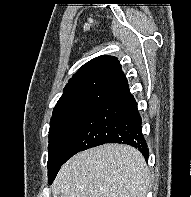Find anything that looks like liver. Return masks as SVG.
<instances>
[{"label":"liver","instance_id":"6515ba94","mask_svg":"<svg viewBox=\"0 0 191 197\" xmlns=\"http://www.w3.org/2000/svg\"><path fill=\"white\" fill-rule=\"evenodd\" d=\"M143 155L124 144H104L80 152L60 169L54 197H145L149 187Z\"/></svg>","mask_w":191,"mask_h":197}]
</instances>
